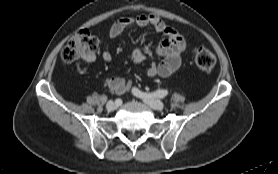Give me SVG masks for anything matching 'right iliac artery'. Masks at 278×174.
Listing matches in <instances>:
<instances>
[{
	"label": "right iliac artery",
	"mask_w": 278,
	"mask_h": 174,
	"mask_svg": "<svg viewBox=\"0 0 278 174\" xmlns=\"http://www.w3.org/2000/svg\"><path fill=\"white\" fill-rule=\"evenodd\" d=\"M115 103H116L117 105H121L122 101H121V99H116V100H115Z\"/></svg>",
	"instance_id": "right-iliac-artery-1"
}]
</instances>
